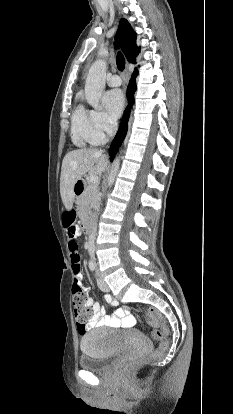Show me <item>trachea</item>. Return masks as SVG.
Masks as SVG:
<instances>
[{
  "instance_id": "trachea-1",
  "label": "trachea",
  "mask_w": 233,
  "mask_h": 414,
  "mask_svg": "<svg viewBox=\"0 0 233 414\" xmlns=\"http://www.w3.org/2000/svg\"><path fill=\"white\" fill-rule=\"evenodd\" d=\"M116 63H117V68L120 71H123L124 68H125V59H124V57H123V55L121 53H119L117 55V61H116Z\"/></svg>"
}]
</instances>
